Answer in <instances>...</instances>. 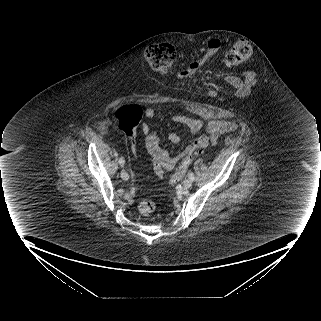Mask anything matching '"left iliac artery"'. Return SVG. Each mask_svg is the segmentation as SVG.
Here are the masks:
<instances>
[{"mask_svg":"<svg viewBox=\"0 0 321 321\" xmlns=\"http://www.w3.org/2000/svg\"><path fill=\"white\" fill-rule=\"evenodd\" d=\"M188 177L193 181L195 179L194 174L192 172L188 173Z\"/></svg>","mask_w":321,"mask_h":321,"instance_id":"1","label":"left iliac artery"}]
</instances>
